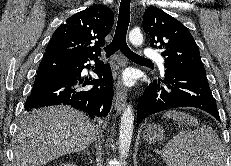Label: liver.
Wrapping results in <instances>:
<instances>
[{"instance_id": "obj_1", "label": "liver", "mask_w": 231, "mask_h": 166, "mask_svg": "<svg viewBox=\"0 0 231 166\" xmlns=\"http://www.w3.org/2000/svg\"><path fill=\"white\" fill-rule=\"evenodd\" d=\"M95 139V126L83 112L69 106L35 110L17 129L14 166H43L84 150Z\"/></svg>"}]
</instances>
